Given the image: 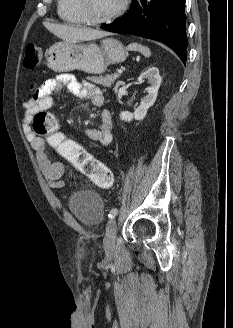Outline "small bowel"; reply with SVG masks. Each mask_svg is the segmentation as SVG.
I'll use <instances>...</instances> for the list:
<instances>
[{
	"label": "small bowel",
	"mask_w": 233,
	"mask_h": 328,
	"mask_svg": "<svg viewBox=\"0 0 233 328\" xmlns=\"http://www.w3.org/2000/svg\"><path fill=\"white\" fill-rule=\"evenodd\" d=\"M63 87L79 99H89L96 107H101L104 103L103 93L100 88L90 82H78L70 74H60L46 80L24 103L22 127L36 152L37 161L47 184L52 188H63L65 186L62 177L68 173V169L64 162L54 157L44 139L31 133L30 123L37 112L47 111L52 107L56 93ZM86 136L103 146H107L112 142L113 121L108 110H102L99 127L87 129Z\"/></svg>",
	"instance_id": "small-bowel-1"
}]
</instances>
